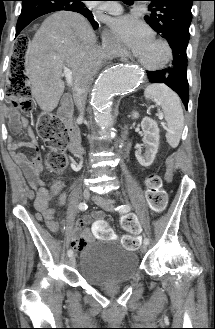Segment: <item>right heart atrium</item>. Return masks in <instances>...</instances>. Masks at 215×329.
Wrapping results in <instances>:
<instances>
[{
  "label": "right heart atrium",
  "instance_id": "1",
  "mask_svg": "<svg viewBox=\"0 0 215 329\" xmlns=\"http://www.w3.org/2000/svg\"><path fill=\"white\" fill-rule=\"evenodd\" d=\"M103 38L105 42L112 48H119L116 40L114 39L112 33L109 30H105L103 33Z\"/></svg>",
  "mask_w": 215,
  "mask_h": 329
}]
</instances>
